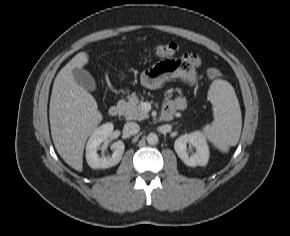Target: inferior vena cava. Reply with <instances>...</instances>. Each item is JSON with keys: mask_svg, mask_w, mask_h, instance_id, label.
I'll use <instances>...</instances> for the list:
<instances>
[{"mask_svg": "<svg viewBox=\"0 0 290 236\" xmlns=\"http://www.w3.org/2000/svg\"><path fill=\"white\" fill-rule=\"evenodd\" d=\"M124 130L126 133L134 135L137 134L140 130V126L135 122H127L124 125Z\"/></svg>", "mask_w": 290, "mask_h": 236, "instance_id": "1", "label": "inferior vena cava"}]
</instances>
